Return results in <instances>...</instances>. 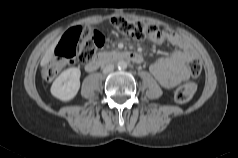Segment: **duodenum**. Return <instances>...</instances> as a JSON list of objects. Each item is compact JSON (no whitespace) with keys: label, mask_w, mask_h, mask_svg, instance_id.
<instances>
[{"label":"duodenum","mask_w":238,"mask_h":158,"mask_svg":"<svg viewBox=\"0 0 238 158\" xmlns=\"http://www.w3.org/2000/svg\"><path fill=\"white\" fill-rule=\"evenodd\" d=\"M116 61H130L135 64H140L143 58L140 54L135 52H103L98 54L86 65V70L95 71L103 64Z\"/></svg>","instance_id":"duodenum-1"}]
</instances>
